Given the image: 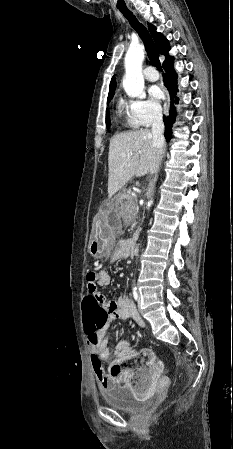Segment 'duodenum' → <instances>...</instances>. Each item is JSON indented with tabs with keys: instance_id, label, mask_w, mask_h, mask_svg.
<instances>
[{
	"instance_id": "duodenum-1",
	"label": "duodenum",
	"mask_w": 233,
	"mask_h": 449,
	"mask_svg": "<svg viewBox=\"0 0 233 449\" xmlns=\"http://www.w3.org/2000/svg\"><path fill=\"white\" fill-rule=\"evenodd\" d=\"M124 251L129 255H135L137 252L136 240L134 238L128 239L123 243Z\"/></svg>"
}]
</instances>
